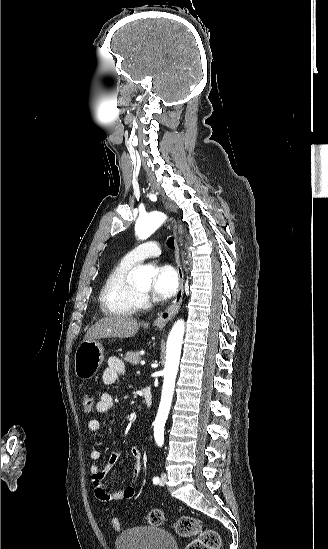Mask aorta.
<instances>
[{
    "label": "aorta",
    "mask_w": 328,
    "mask_h": 549,
    "mask_svg": "<svg viewBox=\"0 0 328 549\" xmlns=\"http://www.w3.org/2000/svg\"><path fill=\"white\" fill-rule=\"evenodd\" d=\"M166 219L167 216L158 211L141 216L136 221L135 232L140 239H147L165 222ZM153 273L152 268L143 266L135 271L134 279L140 284L149 285L151 284ZM184 331L185 322L180 319L173 325L167 340L162 395L157 416L154 421V438L158 446L164 444V427L173 398Z\"/></svg>",
    "instance_id": "aorta-1"
}]
</instances>
